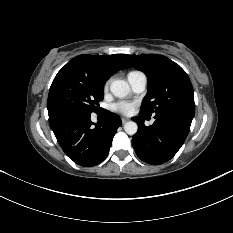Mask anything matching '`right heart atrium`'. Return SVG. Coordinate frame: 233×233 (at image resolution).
I'll list each match as a JSON object with an SVG mask.
<instances>
[{
    "instance_id": "d8ad5b80",
    "label": "right heart atrium",
    "mask_w": 233,
    "mask_h": 233,
    "mask_svg": "<svg viewBox=\"0 0 233 233\" xmlns=\"http://www.w3.org/2000/svg\"><path fill=\"white\" fill-rule=\"evenodd\" d=\"M108 87H109V82H106L105 85H104V91L105 92L108 90Z\"/></svg>"
}]
</instances>
